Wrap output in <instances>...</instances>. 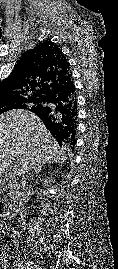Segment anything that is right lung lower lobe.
Here are the masks:
<instances>
[{
    "label": "right lung lower lobe",
    "instance_id": "obj_1",
    "mask_svg": "<svg viewBox=\"0 0 118 269\" xmlns=\"http://www.w3.org/2000/svg\"><path fill=\"white\" fill-rule=\"evenodd\" d=\"M70 99V103L67 104L68 108L63 109L65 106L64 102L67 99ZM42 110L46 113H52L56 120V130L57 135L54 137L58 143L61 145L69 146L74 150L76 143V119H77V99L75 94V87L73 83L64 91L59 93L54 97L49 103H47ZM62 110V111H61ZM67 112L66 115L59 116L58 113Z\"/></svg>",
    "mask_w": 118,
    "mask_h": 269
}]
</instances>
